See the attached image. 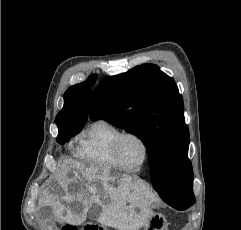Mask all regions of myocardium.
<instances>
[{
	"mask_svg": "<svg viewBox=\"0 0 241 230\" xmlns=\"http://www.w3.org/2000/svg\"><path fill=\"white\" fill-rule=\"evenodd\" d=\"M127 137H134L136 138L143 146L144 148V159L141 162V164L138 167L132 168L127 166L126 164L123 163V161L121 160L120 157V147L122 142L124 141V139H126ZM113 155L114 158L116 160V163L118 164V166L121 169L127 170V171H138L141 168L144 167V165L147 163L149 156H150V150H149V146L148 143L146 142V140L138 133L133 132V131H125V132H121L115 139L114 144H113Z\"/></svg>",
	"mask_w": 241,
	"mask_h": 230,
	"instance_id": "myocardium-1",
	"label": "myocardium"
}]
</instances>
